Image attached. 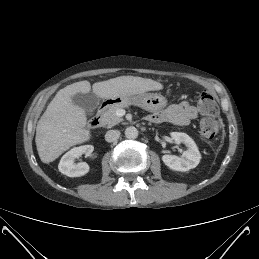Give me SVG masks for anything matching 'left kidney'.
<instances>
[{
	"label": "left kidney",
	"instance_id": "left-kidney-1",
	"mask_svg": "<svg viewBox=\"0 0 259 259\" xmlns=\"http://www.w3.org/2000/svg\"><path fill=\"white\" fill-rule=\"evenodd\" d=\"M171 137L176 144H185L187 150L183 152L182 157L163 155L164 164L174 171L181 172L195 168L200 162L201 154L194 140L182 132H172Z\"/></svg>",
	"mask_w": 259,
	"mask_h": 259
}]
</instances>
